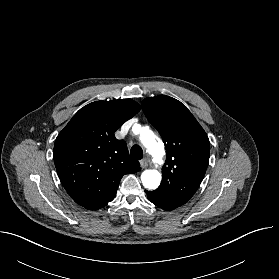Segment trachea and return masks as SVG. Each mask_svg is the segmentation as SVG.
Returning <instances> with one entry per match:
<instances>
[{
    "label": "trachea",
    "instance_id": "1",
    "mask_svg": "<svg viewBox=\"0 0 279 279\" xmlns=\"http://www.w3.org/2000/svg\"><path fill=\"white\" fill-rule=\"evenodd\" d=\"M130 155L134 158V159H142L143 158V150L139 145H134L131 148L130 151Z\"/></svg>",
    "mask_w": 279,
    "mask_h": 279
}]
</instances>
